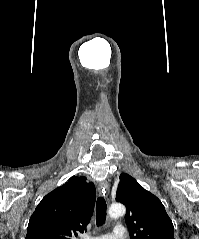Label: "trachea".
Segmentation results:
<instances>
[{
  "instance_id": "obj_1",
  "label": "trachea",
  "mask_w": 199,
  "mask_h": 239,
  "mask_svg": "<svg viewBox=\"0 0 199 239\" xmlns=\"http://www.w3.org/2000/svg\"><path fill=\"white\" fill-rule=\"evenodd\" d=\"M106 201L104 197H98L96 202V224L102 226L106 219Z\"/></svg>"
}]
</instances>
